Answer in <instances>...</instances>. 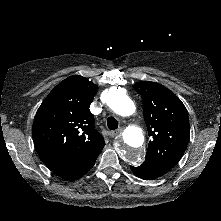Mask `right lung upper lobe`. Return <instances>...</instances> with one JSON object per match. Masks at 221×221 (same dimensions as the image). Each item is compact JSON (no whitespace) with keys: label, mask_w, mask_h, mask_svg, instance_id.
I'll list each match as a JSON object with an SVG mask.
<instances>
[{"label":"right lung upper lobe","mask_w":221,"mask_h":221,"mask_svg":"<svg viewBox=\"0 0 221 221\" xmlns=\"http://www.w3.org/2000/svg\"><path fill=\"white\" fill-rule=\"evenodd\" d=\"M98 87L74 75L60 82L39 107L33 123L36 150L51 170L74 165L103 148L89 110Z\"/></svg>","instance_id":"right-lung-upper-lobe-1"}]
</instances>
